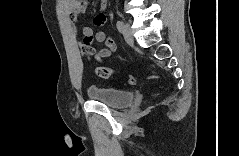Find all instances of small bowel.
Returning <instances> with one entry per match:
<instances>
[{
  "label": "small bowel",
  "mask_w": 239,
  "mask_h": 156,
  "mask_svg": "<svg viewBox=\"0 0 239 156\" xmlns=\"http://www.w3.org/2000/svg\"><path fill=\"white\" fill-rule=\"evenodd\" d=\"M69 21L72 26L75 35L80 32L83 35V40L80 45L81 51L89 58H95L98 61H102L105 58L111 57L117 50L115 41L106 34L103 30L94 31L91 26H80L79 17L87 10L88 3L85 0H66L64 2ZM107 8V2H102L100 7V13L95 18L94 22L97 26L105 25V10ZM94 42L104 43L105 48L96 50L93 46Z\"/></svg>",
  "instance_id": "c3829d8e"
}]
</instances>
